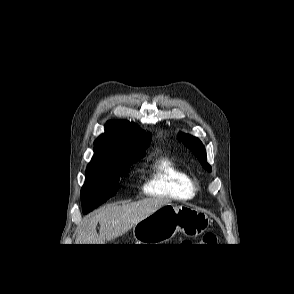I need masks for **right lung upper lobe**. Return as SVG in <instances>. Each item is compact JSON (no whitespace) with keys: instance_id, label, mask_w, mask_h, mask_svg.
Here are the masks:
<instances>
[{"instance_id":"1","label":"right lung upper lobe","mask_w":294,"mask_h":294,"mask_svg":"<svg viewBox=\"0 0 294 294\" xmlns=\"http://www.w3.org/2000/svg\"><path fill=\"white\" fill-rule=\"evenodd\" d=\"M150 141L151 135L144 134L133 123L109 121L105 133L94 142V157H143Z\"/></svg>"}]
</instances>
